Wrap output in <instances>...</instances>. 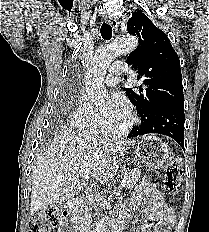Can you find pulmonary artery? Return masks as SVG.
I'll return each instance as SVG.
<instances>
[{
  "mask_svg": "<svg viewBox=\"0 0 209 232\" xmlns=\"http://www.w3.org/2000/svg\"><path fill=\"white\" fill-rule=\"evenodd\" d=\"M128 71L127 65L124 62H115L105 76V83L108 86H114L118 83L120 75Z\"/></svg>",
  "mask_w": 209,
  "mask_h": 232,
  "instance_id": "pulmonary-artery-1",
  "label": "pulmonary artery"
}]
</instances>
